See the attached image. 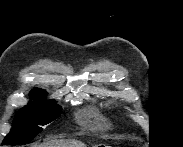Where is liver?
<instances>
[{"mask_svg": "<svg viewBox=\"0 0 183 147\" xmlns=\"http://www.w3.org/2000/svg\"><path fill=\"white\" fill-rule=\"evenodd\" d=\"M37 147H86V145L76 140H59L41 144Z\"/></svg>", "mask_w": 183, "mask_h": 147, "instance_id": "liver-1", "label": "liver"}]
</instances>
